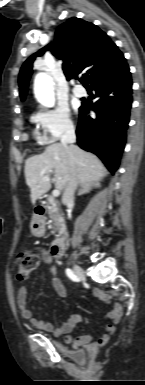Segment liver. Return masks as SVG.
I'll use <instances>...</instances> for the list:
<instances>
[{"label": "liver", "mask_w": 145, "mask_h": 385, "mask_svg": "<svg viewBox=\"0 0 145 385\" xmlns=\"http://www.w3.org/2000/svg\"><path fill=\"white\" fill-rule=\"evenodd\" d=\"M75 157V173L77 184L89 185L98 183L104 176L106 169L97 156L80 149L78 146L65 147L62 143L49 145L42 154L34 155L25 162L26 183L31 191V202L45 194L51 188V180L46 179L54 173L55 187L65 190L69 184L72 167L69 155Z\"/></svg>", "instance_id": "obj_1"}]
</instances>
